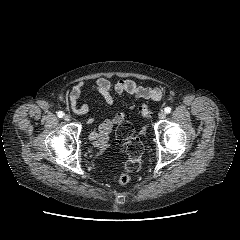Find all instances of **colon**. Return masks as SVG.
I'll list each match as a JSON object with an SVG mask.
<instances>
[{
	"label": "colon",
	"mask_w": 240,
	"mask_h": 240,
	"mask_svg": "<svg viewBox=\"0 0 240 240\" xmlns=\"http://www.w3.org/2000/svg\"><path fill=\"white\" fill-rule=\"evenodd\" d=\"M142 114L144 117L151 115L148 107H142ZM116 143L125 147L128 160L125 164V172L121 173L118 177V183L125 185L130 180L129 173L138 172L141 168V156L143 153V146L138 138L133 136V127L127 120L119 123L116 131Z\"/></svg>",
	"instance_id": "5ec220e1"
}]
</instances>
